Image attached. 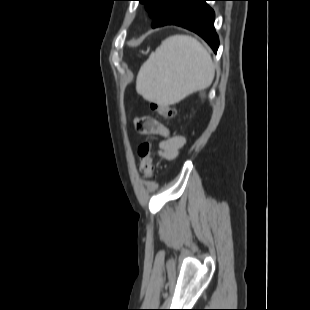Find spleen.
Instances as JSON below:
<instances>
[{
  "instance_id": "1",
  "label": "spleen",
  "mask_w": 310,
  "mask_h": 310,
  "mask_svg": "<svg viewBox=\"0 0 310 310\" xmlns=\"http://www.w3.org/2000/svg\"><path fill=\"white\" fill-rule=\"evenodd\" d=\"M213 79V62L203 45L191 36L174 35L142 65L136 90L146 100L175 104L206 89Z\"/></svg>"
}]
</instances>
